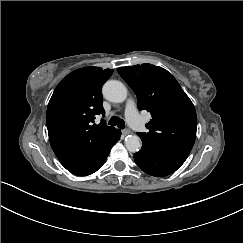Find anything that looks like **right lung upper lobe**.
<instances>
[{
	"label": "right lung upper lobe",
	"instance_id": "cb5924a9",
	"mask_svg": "<svg viewBox=\"0 0 243 243\" xmlns=\"http://www.w3.org/2000/svg\"><path fill=\"white\" fill-rule=\"evenodd\" d=\"M112 69L86 67L68 74L56 87L47 108L51 147L67 170L80 168L101 152L120 133L104 120L96 125L102 107V85Z\"/></svg>",
	"mask_w": 243,
	"mask_h": 243
}]
</instances>
